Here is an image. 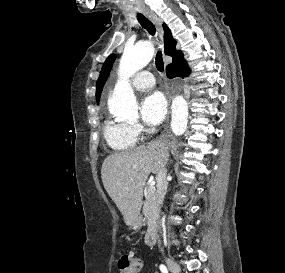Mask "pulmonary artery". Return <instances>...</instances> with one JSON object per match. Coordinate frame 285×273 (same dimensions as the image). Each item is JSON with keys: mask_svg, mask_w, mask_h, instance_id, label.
I'll return each mask as SVG.
<instances>
[{"mask_svg": "<svg viewBox=\"0 0 285 273\" xmlns=\"http://www.w3.org/2000/svg\"><path fill=\"white\" fill-rule=\"evenodd\" d=\"M132 85L136 89H147L155 85V78L149 71H140L132 79Z\"/></svg>", "mask_w": 285, "mask_h": 273, "instance_id": "pulmonary-artery-1", "label": "pulmonary artery"}]
</instances>
